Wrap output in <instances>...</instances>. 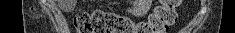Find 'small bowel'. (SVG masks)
I'll use <instances>...</instances> for the list:
<instances>
[{
    "instance_id": "obj_1",
    "label": "small bowel",
    "mask_w": 235,
    "mask_h": 33,
    "mask_svg": "<svg viewBox=\"0 0 235 33\" xmlns=\"http://www.w3.org/2000/svg\"><path fill=\"white\" fill-rule=\"evenodd\" d=\"M150 2L147 0H140L135 3V12L137 14L144 13L148 10Z\"/></svg>"
}]
</instances>
